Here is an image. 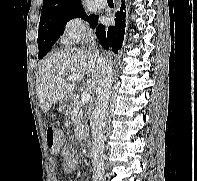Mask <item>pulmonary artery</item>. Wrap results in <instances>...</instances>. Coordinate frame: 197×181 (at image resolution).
Here are the masks:
<instances>
[{"label": "pulmonary artery", "instance_id": "e3ab8cb5", "mask_svg": "<svg viewBox=\"0 0 197 181\" xmlns=\"http://www.w3.org/2000/svg\"><path fill=\"white\" fill-rule=\"evenodd\" d=\"M94 4L98 8H104L106 6V0H94Z\"/></svg>", "mask_w": 197, "mask_h": 181}]
</instances>
